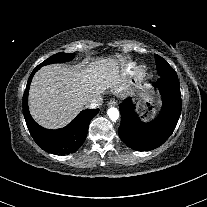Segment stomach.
<instances>
[{
    "label": "stomach",
    "instance_id": "0dacf381",
    "mask_svg": "<svg viewBox=\"0 0 207 207\" xmlns=\"http://www.w3.org/2000/svg\"><path fill=\"white\" fill-rule=\"evenodd\" d=\"M132 94L136 97V112L143 116V121L153 119L161 106V100L149 84H135Z\"/></svg>",
    "mask_w": 207,
    "mask_h": 207
}]
</instances>
